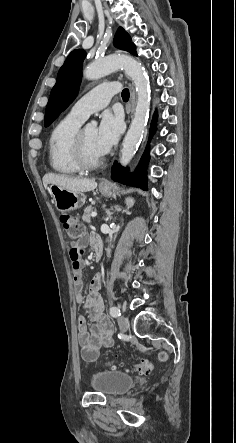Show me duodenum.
Masks as SVG:
<instances>
[{"mask_svg":"<svg viewBox=\"0 0 236 443\" xmlns=\"http://www.w3.org/2000/svg\"><path fill=\"white\" fill-rule=\"evenodd\" d=\"M102 256V245L98 246L95 250H94V258L95 260H99Z\"/></svg>","mask_w":236,"mask_h":443,"instance_id":"obj_1","label":"duodenum"}]
</instances>
